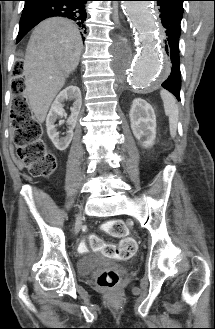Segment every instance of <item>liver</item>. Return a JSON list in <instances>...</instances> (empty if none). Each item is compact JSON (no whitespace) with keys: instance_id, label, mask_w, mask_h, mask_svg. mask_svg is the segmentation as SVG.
<instances>
[{"instance_id":"liver-1","label":"liver","mask_w":215,"mask_h":329,"mask_svg":"<svg viewBox=\"0 0 215 329\" xmlns=\"http://www.w3.org/2000/svg\"><path fill=\"white\" fill-rule=\"evenodd\" d=\"M82 47L79 29L71 20L50 18L33 30L23 74L26 99L39 123L44 122L66 78L77 68Z\"/></svg>"}]
</instances>
